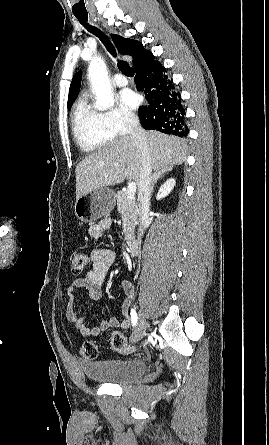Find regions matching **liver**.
I'll use <instances>...</instances> for the list:
<instances>
[{"label":"liver","instance_id":"1","mask_svg":"<svg viewBox=\"0 0 269 445\" xmlns=\"http://www.w3.org/2000/svg\"><path fill=\"white\" fill-rule=\"evenodd\" d=\"M145 133L151 166L155 171L180 165L186 160L187 146L180 138L154 130ZM140 168L135 141L130 135L120 137L76 166V199L99 188L120 184L125 179L138 183Z\"/></svg>","mask_w":269,"mask_h":445}]
</instances>
